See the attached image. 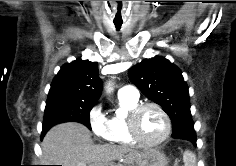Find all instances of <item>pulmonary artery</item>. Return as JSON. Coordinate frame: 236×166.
Masks as SVG:
<instances>
[{
	"instance_id": "pulmonary-artery-1",
	"label": "pulmonary artery",
	"mask_w": 236,
	"mask_h": 166,
	"mask_svg": "<svg viewBox=\"0 0 236 166\" xmlns=\"http://www.w3.org/2000/svg\"><path fill=\"white\" fill-rule=\"evenodd\" d=\"M118 97L128 98V99H132V100H138L139 99V91L135 86L127 85V86H124L119 89Z\"/></svg>"
}]
</instances>
